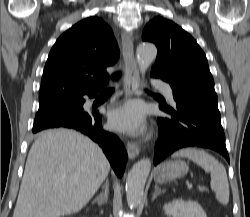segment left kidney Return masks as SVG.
Masks as SVG:
<instances>
[{"mask_svg": "<svg viewBox=\"0 0 250 217\" xmlns=\"http://www.w3.org/2000/svg\"><path fill=\"white\" fill-rule=\"evenodd\" d=\"M163 210L172 217H207L200 204L192 200H173L165 204Z\"/></svg>", "mask_w": 250, "mask_h": 217, "instance_id": "left-kidney-1", "label": "left kidney"}]
</instances>
